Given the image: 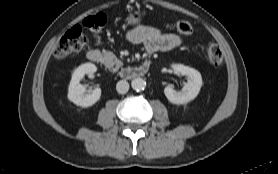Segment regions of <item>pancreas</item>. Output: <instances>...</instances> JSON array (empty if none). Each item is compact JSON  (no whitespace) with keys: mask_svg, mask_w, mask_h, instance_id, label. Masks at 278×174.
I'll return each mask as SVG.
<instances>
[{"mask_svg":"<svg viewBox=\"0 0 278 174\" xmlns=\"http://www.w3.org/2000/svg\"><path fill=\"white\" fill-rule=\"evenodd\" d=\"M104 64L106 67L111 68L114 71H117L123 65L112 52L107 51L104 52Z\"/></svg>","mask_w":278,"mask_h":174,"instance_id":"pancreas-1","label":"pancreas"}]
</instances>
